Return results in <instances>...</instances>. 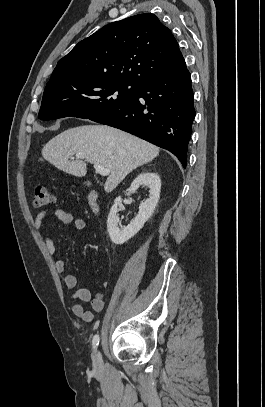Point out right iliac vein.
Segmentation results:
<instances>
[{"label":"right iliac vein","mask_w":265,"mask_h":407,"mask_svg":"<svg viewBox=\"0 0 265 407\" xmlns=\"http://www.w3.org/2000/svg\"><path fill=\"white\" fill-rule=\"evenodd\" d=\"M93 362L96 366L101 362V354L98 350L93 354Z\"/></svg>","instance_id":"63e3f726"}]
</instances>
